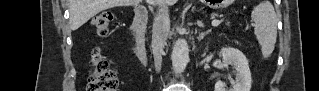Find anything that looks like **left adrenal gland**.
Returning a JSON list of instances; mask_svg holds the SVG:
<instances>
[{
    "label": "left adrenal gland",
    "mask_w": 319,
    "mask_h": 91,
    "mask_svg": "<svg viewBox=\"0 0 319 91\" xmlns=\"http://www.w3.org/2000/svg\"><path fill=\"white\" fill-rule=\"evenodd\" d=\"M211 30H207L205 32H199V35L197 36V39L200 41L202 40L207 34H209Z\"/></svg>",
    "instance_id": "obj_1"
}]
</instances>
